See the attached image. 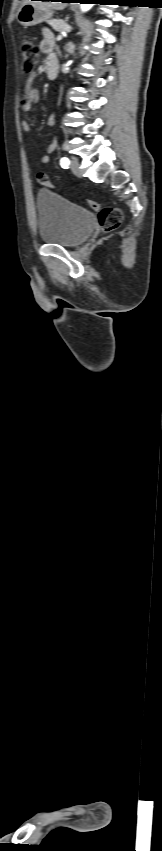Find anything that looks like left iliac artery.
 Wrapping results in <instances>:
<instances>
[{
  "mask_svg": "<svg viewBox=\"0 0 162 851\" xmlns=\"http://www.w3.org/2000/svg\"><path fill=\"white\" fill-rule=\"evenodd\" d=\"M60 164H61V166H62L63 168H68V166H69V164H70V160H69L68 158H66V157H63V158H61V160H60Z\"/></svg>",
  "mask_w": 162,
  "mask_h": 851,
  "instance_id": "obj_1",
  "label": "left iliac artery"
}]
</instances>
